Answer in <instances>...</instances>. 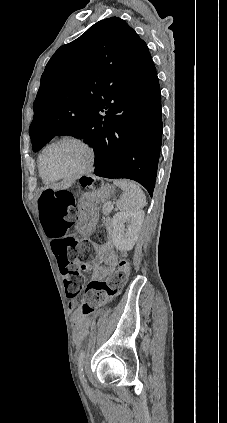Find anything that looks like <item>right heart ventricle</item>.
<instances>
[{"mask_svg": "<svg viewBox=\"0 0 227 423\" xmlns=\"http://www.w3.org/2000/svg\"><path fill=\"white\" fill-rule=\"evenodd\" d=\"M37 164H38V171H39V175H40V177H41L42 181H43L45 184H50V183H53L55 180H52V179L47 178V177L43 174V172H42V170H41V168H40V155H39V157H38Z\"/></svg>", "mask_w": 227, "mask_h": 423, "instance_id": "e07e8e85", "label": "right heart ventricle"}]
</instances>
